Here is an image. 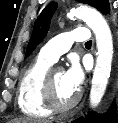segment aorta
Here are the masks:
<instances>
[{"label": "aorta", "instance_id": "aorta-1", "mask_svg": "<svg viewBox=\"0 0 118 123\" xmlns=\"http://www.w3.org/2000/svg\"><path fill=\"white\" fill-rule=\"evenodd\" d=\"M68 17L82 19L87 26L94 32L97 45V59L93 72L90 106L95 108L101 102L108 79L110 77L111 63L113 58V40L110 28L105 18L95 9L80 6L71 9Z\"/></svg>", "mask_w": 118, "mask_h": 123}]
</instances>
